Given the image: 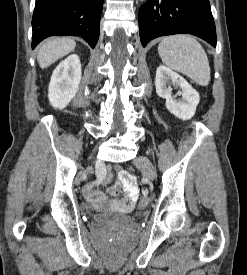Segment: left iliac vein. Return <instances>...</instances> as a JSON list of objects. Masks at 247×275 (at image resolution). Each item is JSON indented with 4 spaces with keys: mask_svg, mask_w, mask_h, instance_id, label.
Returning <instances> with one entry per match:
<instances>
[{
    "mask_svg": "<svg viewBox=\"0 0 247 275\" xmlns=\"http://www.w3.org/2000/svg\"><path fill=\"white\" fill-rule=\"evenodd\" d=\"M134 164L142 170L144 175L148 178H154L156 173H155V168L151 161L146 158V157H138Z\"/></svg>",
    "mask_w": 247,
    "mask_h": 275,
    "instance_id": "obj_1",
    "label": "left iliac vein"
}]
</instances>
